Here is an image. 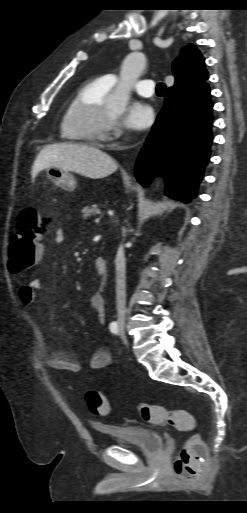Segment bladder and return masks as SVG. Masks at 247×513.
<instances>
[{"label": "bladder", "mask_w": 247, "mask_h": 513, "mask_svg": "<svg viewBox=\"0 0 247 513\" xmlns=\"http://www.w3.org/2000/svg\"><path fill=\"white\" fill-rule=\"evenodd\" d=\"M97 430L112 437L115 444L135 447L143 453L151 454L163 449L161 435L155 430L128 425H99Z\"/></svg>", "instance_id": "bladder-1"}]
</instances>
